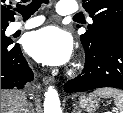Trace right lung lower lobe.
Returning <instances> with one entry per match:
<instances>
[{
    "instance_id": "1",
    "label": "right lung lower lobe",
    "mask_w": 123,
    "mask_h": 113,
    "mask_svg": "<svg viewBox=\"0 0 123 113\" xmlns=\"http://www.w3.org/2000/svg\"><path fill=\"white\" fill-rule=\"evenodd\" d=\"M8 23L1 24L6 28ZM33 80V72L23 57L20 46L1 45V89H22Z\"/></svg>"
}]
</instances>
